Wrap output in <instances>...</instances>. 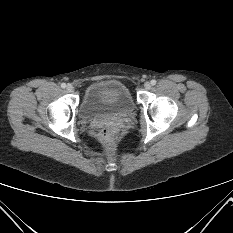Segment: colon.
<instances>
[{
	"instance_id": "obj_1",
	"label": "colon",
	"mask_w": 233,
	"mask_h": 233,
	"mask_svg": "<svg viewBox=\"0 0 233 233\" xmlns=\"http://www.w3.org/2000/svg\"><path fill=\"white\" fill-rule=\"evenodd\" d=\"M114 130L112 127L106 126L99 131V135L104 140H110L114 137Z\"/></svg>"
}]
</instances>
